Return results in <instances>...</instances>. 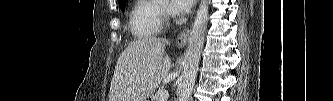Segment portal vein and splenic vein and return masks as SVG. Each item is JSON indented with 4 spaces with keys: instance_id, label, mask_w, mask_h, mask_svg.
Masks as SVG:
<instances>
[{
    "instance_id": "portal-vein-and-splenic-vein-1",
    "label": "portal vein and splenic vein",
    "mask_w": 333,
    "mask_h": 101,
    "mask_svg": "<svg viewBox=\"0 0 333 101\" xmlns=\"http://www.w3.org/2000/svg\"><path fill=\"white\" fill-rule=\"evenodd\" d=\"M160 98L162 101H165L168 98V92L165 89L160 90Z\"/></svg>"
}]
</instances>
